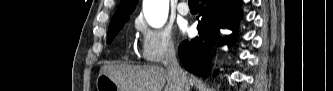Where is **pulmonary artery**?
<instances>
[{"instance_id":"obj_1","label":"pulmonary artery","mask_w":333,"mask_h":91,"mask_svg":"<svg viewBox=\"0 0 333 91\" xmlns=\"http://www.w3.org/2000/svg\"><path fill=\"white\" fill-rule=\"evenodd\" d=\"M177 11L179 14L186 16L189 13V7L185 1H180L177 5Z\"/></svg>"}]
</instances>
